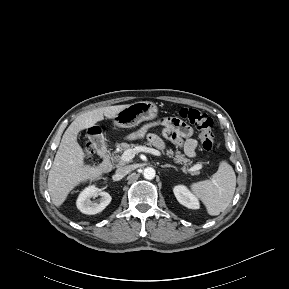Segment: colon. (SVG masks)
<instances>
[{"instance_id":"5ec220e1","label":"colon","mask_w":289,"mask_h":289,"mask_svg":"<svg viewBox=\"0 0 289 289\" xmlns=\"http://www.w3.org/2000/svg\"><path fill=\"white\" fill-rule=\"evenodd\" d=\"M180 117L194 125L199 131L201 146L205 151H211L215 144L213 133V120L205 113L194 108H183L179 112ZM94 153L91 143L84 146L85 158L89 160Z\"/></svg>"}]
</instances>
